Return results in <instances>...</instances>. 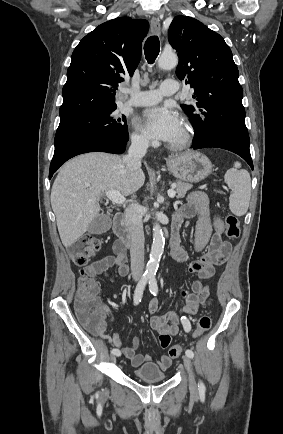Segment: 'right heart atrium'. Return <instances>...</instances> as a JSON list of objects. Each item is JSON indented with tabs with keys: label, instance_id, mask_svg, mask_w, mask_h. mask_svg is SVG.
<instances>
[{
	"label": "right heart atrium",
	"instance_id": "1",
	"mask_svg": "<svg viewBox=\"0 0 283 434\" xmlns=\"http://www.w3.org/2000/svg\"><path fill=\"white\" fill-rule=\"evenodd\" d=\"M132 144L139 148H145L149 145L148 139L141 133L134 131L131 135Z\"/></svg>",
	"mask_w": 283,
	"mask_h": 434
}]
</instances>
